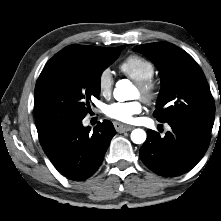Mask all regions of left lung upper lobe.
<instances>
[{
    "label": "left lung upper lobe",
    "instance_id": "obj_1",
    "mask_svg": "<svg viewBox=\"0 0 221 221\" xmlns=\"http://www.w3.org/2000/svg\"><path fill=\"white\" fill-rule=\"evenodd\" d=\"M134 51L158 67L162 88L153 115L159 122L186 120L211 131L215 103L204 73L184 50L168 42L138 45Z\"/></svg>",
    "mask_w": 221,
    "mask_h": 221
}]
</instances>
